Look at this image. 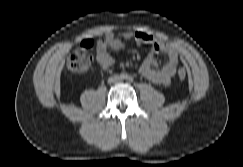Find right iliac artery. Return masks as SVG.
I'll use <instances>...</instances> for the list:
<instances>
[{
  "instance_id": "82829eb1",
  "label": "right iliac artery",
  "mask_w": 243,
  "mask_h": 167,
  "mask_svg": "<svg viewBox=\"0 0 243 167\" xmlns=\"http://www.w3.org/2000/svg\"><path fill=\"white\" fill-rule=\"evenodd\" d=\"M121 78H122V79H125V78H127V75H126L125 73H122V74H121Z\"/></svg>"
}]
</instances>
